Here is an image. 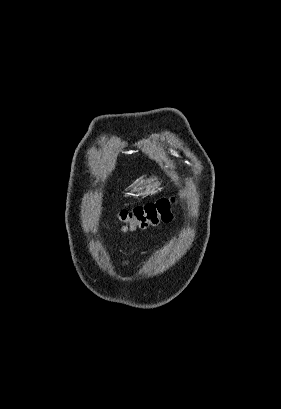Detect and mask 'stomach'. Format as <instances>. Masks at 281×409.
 Instances as JSON below:
<instances>
[{
	"label": "stomach",
	"instance_id": "0dacf381",
	"mask_svg": "<svg viewBox=\"0 0 281 409\" xmlns=\"http://www.w3.org/2000/svg\"><path fill=\"white\" fill-rule=\"evenodd\" d=\"M160 184L157 176H140V178L133 180L131 186H133L136 196H145V194H155Z\"/></svg>",
	"mask_w": 281,
	"mask_h": 409
}]
</instances>
